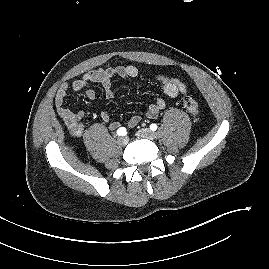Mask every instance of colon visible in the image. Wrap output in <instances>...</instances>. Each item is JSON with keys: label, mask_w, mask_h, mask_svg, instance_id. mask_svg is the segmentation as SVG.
I'll return each mask as SVG.
<instances>
[{"label": "colon", "mask_w": 269, "mask_h": 269, "mask_svg": "<svg viewBox=\"0 0 269 269\" xmlns=\"http://www.w3.org/2000/svg\"><path fill=\"white\" fill-rule=\"evenodd\" d=\"M183 105L186 110L191 114L194 121H198V104L196 100L190 96H186L183 100Z\"/></svg>", "instance_id": "obj_1"}]
</instances>
